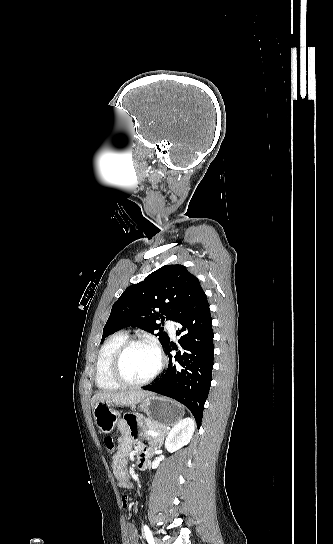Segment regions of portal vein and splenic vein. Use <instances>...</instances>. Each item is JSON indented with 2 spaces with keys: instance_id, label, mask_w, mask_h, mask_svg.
<instances>
[{
  "instance_id": "18ae733b",
  "label": "portal vein and splenic vein",
  "mask_w": 333,
  "mask_h": 544,
  "mask_svg": "<svg viewBox=\"0 0 333 544\" xmlns=\"http://www.w3.org/2000/svg\"><path fill=\"white\" fill-rule=\"evenodd\" d=\"M146 433L149 434V435H152V436H158L159 435V433L154 432L152 430H148Z\"/></svg>"
}]
</instances>
